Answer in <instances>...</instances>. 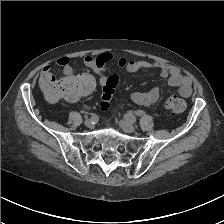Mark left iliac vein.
Wrapping results in <instances>:
<instances>
[{
  "instance_id": "4c4485c4",
  "label": "left iliac vein",
  "mask_w": 224,
  "mask_h": 224,
  "mask_svg": "<svg viewBox=\"0 0 224 224\" xmlns=\"http://www.w3.org/2000/svg\"><path fill=\"white\" fill-rule=\"evenodd\" d=\"M120 127L122 128V130L126 133H133L135 132V127L127 120H121L119 122Z\"/></svg>"
}]
</instances>
